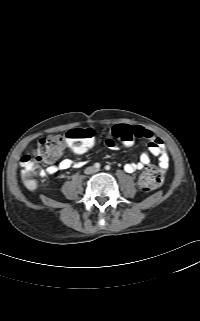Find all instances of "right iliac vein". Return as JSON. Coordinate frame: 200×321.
<instances>
[{"label": "right iliac vein", "mask_w": 200, "mask_h": 321, "mask_svg": "<svg viewBox=\"0 0 200 321\" xmlns=\"http://www.w3.org/2000/svg\"><path fill=\"white\" fill-rule=\"evenodd\" d=\"M93 169L92 168H90V170L89 171H92Z\"/></svg>", "instance_id": "right-iliac-vein-1"}]
</instances>
